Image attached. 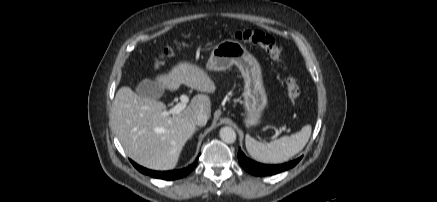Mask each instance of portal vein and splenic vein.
Instances as JSON below:
<instances>
[{
	"mask_svg": "<svg viewBox=\"0 0 437 202\" xmlns=\"http://www.w3.org/2000/svg\"><path fill=\"white\" fill-rule=\"evenodd\" d=\"M180 101V103L176 104L174 107L168 110L167 114H179L182 110L186 108V104L188 103L189 98L187 95H181Z\"/></svg>",
	"mask_w": 437,
	"mask_h": 202,
	"instance_id": "obj_1",
	"label": "portal vein and splenic vein"
}]
</instances>
